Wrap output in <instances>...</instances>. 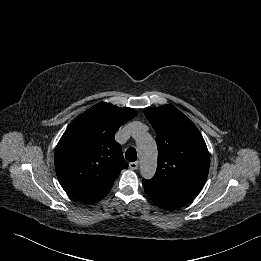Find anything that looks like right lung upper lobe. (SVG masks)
I'll list each match as a JSON object with an SVG mask.
<instances>
[{
  "mask_svg": "<svg viewBox=\"0 0 261 261\" xmlns=\"http://www.w3.org/2000/svg\"><path fill=\"white\" fill-rule=\"evenodd\" d=\"M135 116L131 108L99 103L68 126L57 144L54 162L58 180L72 198L92 204L109 193L121 170L128 167L114 135Z\"/></svg>",
  "mask_w": 261,
  "mask_h": 261,
  "instance_id": "obj_1",
  "label": "right lung upper lobe"
}]
</instances>
